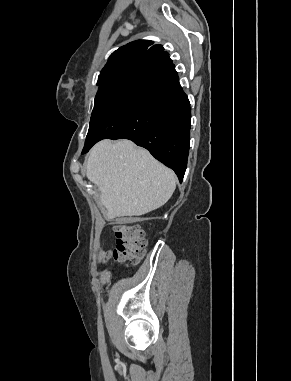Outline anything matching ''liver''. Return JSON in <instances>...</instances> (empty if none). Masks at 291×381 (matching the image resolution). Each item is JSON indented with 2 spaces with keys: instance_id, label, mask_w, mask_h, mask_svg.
<instances>
[{
  "instance_id": "1",
  "label": "liver",
  "mask_w": 291,
  "mask_h": 381,
  "mask_svg": "<svg viewBox=\"0 0 291 381\" xmlns=\"http://www.w3.org/2000/svg\"><path fill=\"white\" fill-rule=\"evenodd\" d=\"M86 176L100 191L107 220L147 214L163 206L176 188L174 172L129 140L94 145Z\"/></svg>"
}]
</instances>
